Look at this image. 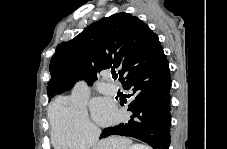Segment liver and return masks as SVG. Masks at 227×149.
I'll return each instance as SVG.
<instances>
[{
  "mask_svg": "<svg viewBox=\"0 0 227 149\" xmlns=\"http://www.w3.org/2000/svg\"><path fill=\"white\" fill-rule=\"evenodd\" d=\"M131 144L132 140L128 138L112 136L99 141L93 149H129Z\"/></svg>",
  "mask_w": 227,
  "mask_h": 149,
  "instance_id": "6515ba94",
  "label": "liver"
}]
</instances>
